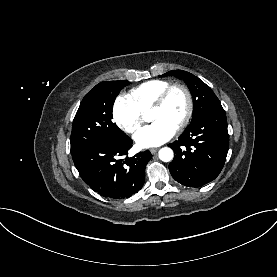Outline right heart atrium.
<instances>
[{
    "mask_svg": "<svg viewBox=\"0 0 277 277\" xmlns=\"http://www.w3.org/2000/svg\"><path fill=\"white\" fill-rule=\"evenodd\" d=\"M115 123L125 132L134 133L141 124V111L127 95H119L112 107Z\"/></svg>",
    "mask_w": 277,
    "mask_h": 277,
    "instance_id": "obj_1",
    "label": "right heart atrium"
}]
</instances>
